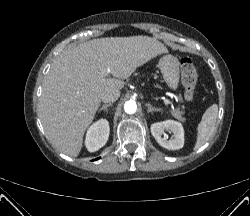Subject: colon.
<instances>
[{"label":"colon","instance_id":"1","mask_svg":"<svg viewBox=\"0 0 250 216\" xmlns=\"http://www.w3.org/2000/svg\"><path fill=\"white\" fill-rule=\"evenodd\" d=\"M181 82L185 91V98L192 101L195 96L198 75L192 60L184 57L180 61Z\"/></svg>","mask_w":250,"mask_h":216}]
</instances>
